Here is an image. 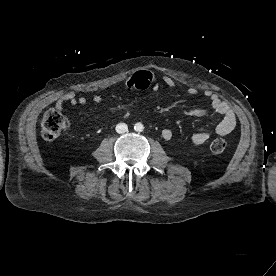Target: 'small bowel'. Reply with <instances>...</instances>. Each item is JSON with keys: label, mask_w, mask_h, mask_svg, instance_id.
<instances>
[{"label": "small bowel", "mask_w": 276, "mask_h": 276, "mask_svg": "<svg viewBox=\"0 0 276 276\" xmlns=\"http://www.w3.org/2000/svg\"><path fill=\"white\" fill-rule=\"evenodd\" d=\"M162 82L170 88L176 86V81L169 77L163 76ZM156 75L150 70H140L137 71L127 82L126 87L128 89L136 90H145L152 86H156ZM186 93L190 96H195L199 93V90L196 87H189L186 90ZM204 96L210 100L213 110L220 116L222 120L217 124L215 128L216 134L220 136H225L231 133L236 127V116L232 107L222 100L216 93L211 90H205L203 92ZM94 103H100L102 97L100 95H95L93 97ZM87 99L85 97H79L74 92H67L60 95L55 103L56 109L62 111L66 103L71 104L72 106L84 105L86 104ZM186 116L199 118L207 115V111L201 108L189 109L185 112ZM162 137L165 140H171L173 133L170 129H164L162 131ZM209 139V134L207 132H198L192 135L191 141L194 144H203Z\"/></svg>", "instance_id": "obj_1"}]
</instances>
